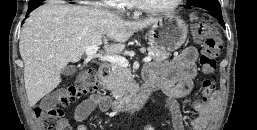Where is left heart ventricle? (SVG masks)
I'll return each instance as SVG.
<instances>
[{
  "label": "left heart ventricle",
  "mask_w": 257,
  "mask_h": 130,
  "mask_svg": "<svg viewBox=\"0 0 257 130\" xmlns=\"http://www.w3.org/2000/svg\"><path fill=\"white\" fill-rule=\"evenodd\" d=\"M146 5L153 8H163L172 4L175 0H143Z\"/></svg>",
  "instance_id": "left-heart-ventricle-1"
}]
</instances>
